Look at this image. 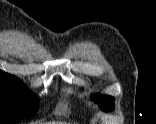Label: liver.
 Returning <instances> with one entry per match:
<instances>
[{
  "label": "liver",
  "instance_id": "obj_1",
  "mask_svg": "<svg viewBox=\"0 0 156 124\" xmlns=\"http://www.w3.org/2000/svg\"><path fill=\"white\" fill-rule=\"evenodd\" d=\"M47 124H67L66 122H61V121H52V122H49Z\"/></svg>",
  "mask_w": 156,
  "mask_h": 124
}]
</instances>
